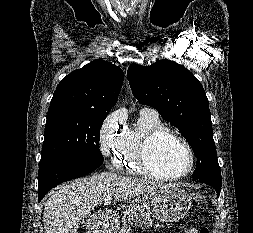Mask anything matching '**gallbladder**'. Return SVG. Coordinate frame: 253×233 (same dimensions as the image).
<instances>
[{
    "label": "gallbladder",
    "mask_w": 253,
    "mask_h": 233,
    "mask_svg": "<svg viewBox=\"0 0 253 233\" xmlns=\"http://www.w3.org/2000/svg\"><path fill=\"white\" fill-rule=\"evenodd\" d=\"M86 221H87V219H83V220L81 221V223H82V224H85Z\"/></svg>",
    "instance_id": "gallbladder-1"
}]
</instances>
